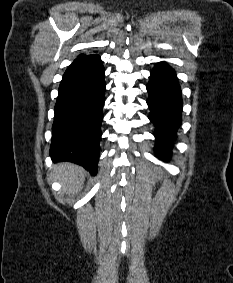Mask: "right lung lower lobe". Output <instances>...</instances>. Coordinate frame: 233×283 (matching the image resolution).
Instances as JSON below:
<instances>
[{"label": "right lung lower lobe", "mask_w": 233, "mask_h": 283, "mask_svg": "<svg viewBox=\"0 0 233 283\" xmlns=\"http://www.w3.org/2000/svg\"><path fill=\"white\" fill-rule=\"evenodd\" d=\"M104 67L100 56L77 57L60 83L52 126L50 156L53 161H69L97 173Z\"/></svg>", "instance_id": "98d812e1"}]
</instances>
